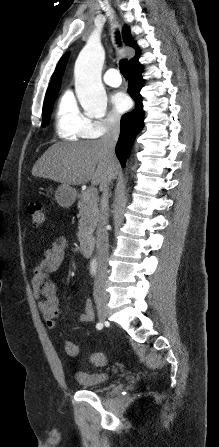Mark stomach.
<instances>
[{
	"instance_id": "0dacf381",
	"label": "stomach",
	"mask_w": 219,
	"mask_h": 447,
	"mask_svg": "<svg viewBox=\"0 0 219 447\" xmlns=\"http://www.w3.org/2000/svg\"><path fill=\"white\" fill-rule=\"evenodd\" d=\"M77 196V192L75 189L68 185H60L55 191V198L57 203L65 208H68L73 205Z\"/></svg>"
}]
</instances>
